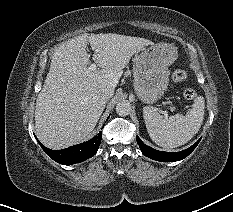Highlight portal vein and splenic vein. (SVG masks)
Here are the masks:
<instances>
[{"mask_svg":"<svg viewBox=\"0 0 233 212\" xmlns=\"http://www.w3.org/2000/svg\"><path fill=\"white\" fill-rule=\"evenodd\" d=\"M96 68H97V66H96V64H94V63L91 64V65L89 66V70H90V71H95ZM164 115H165V117L168 116L167 111H164Z\"/></svg>","mask_w":233,"mask_h":212,"instance_id":"obj_1","label":"portal vein and splenic vein"}]
</instances>
